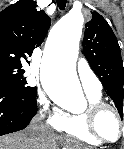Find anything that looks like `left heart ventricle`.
I'll list each match as a JSON object with an SVG mask.
<instances>
[{"mask_svg":"<svg viewBox=\"0 0 124 149\" xmlns=\"http://www.w3.org/2000/svg\"><path fill=\"white\" fill-rule=\"evenodd\" d=\"M97 128L99 132L109 140H115L119 135L117 119L110 110H105L99 115Z\"/></svg>","mask_w":124,"mask_h":149,"instance_id":"obj_1","label":"left heart ventricle"}]
</instances>
